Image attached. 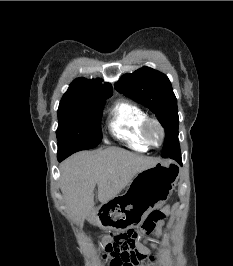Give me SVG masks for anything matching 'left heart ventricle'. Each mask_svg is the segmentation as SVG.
<instances>
[{
  "instance_id": "b2bd125f",
  "label": "left heart ventricle",
  "mask_w": 233,
  "mask_h": 266,
  "mask_svg": "<svg viewBox=\"0 0 233 266\" xmlns=\"http://www.w3.org/2000/svg\"><path fill=\"white\" fill-rule=\"evenodd\" d=\"M150 139L153 143L157 144L160 141L161 133L156 126H152L149 131Z\"/></svg>"
}]
</instances>
